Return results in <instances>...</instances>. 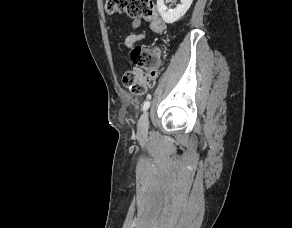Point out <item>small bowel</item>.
Wrapping results in <instances>:
<instances>
[{
	"label": "small bowel",
	"instance_id": "small-bowel-1",
	"mask_svg": "<svg viewBox=\"0 0 292 228\" xmlns=\"http://www.w3.org/2000/svg\"><path fill=\"white\" fill-rule=\"evenodd\" d=\"M145 37V33H136V34H131L129 36L126 37L125 39V45L128 48H133L135 46V44L139 41H141L142 39H144ZM155 84V81L153 82V84L150 87H153Z\"/></svg>",
	"mask_w": 292,
	"mask_h": 228
}]
</instances>
